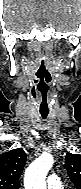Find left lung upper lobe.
Returning a JSON list of instances; mask_svg holds the SVG:
<instances>
[{
    "label": "left lung upper lobe",
    "instance_id": "5c2ea615",
    "mask_svg": "<svg viewBox=\"0 0 81 189\" xmlns=\"http://www.w3.org/2000/svg\"><path fill=\"white\" fill-rule=\"evenodd\" d=\"M65 165L71 182L77 189H81V155L67 153Z\"/></svg>",
    "mask_w": 81,
    "mask_h": 189
}]
</instances>
